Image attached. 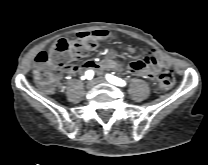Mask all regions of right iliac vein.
<instances>
[{
    "mask_svg": "<svg viewBox=\"0 0 208 165\" xmlns=\"http://www.w3.org/2000/svg\"><path fill=\"white\" fill-rule=\"evenodd\" d=\"M94 85H95V81L94 80H90V81L87 82L86 87L88 89H91L92 87H94Z\"/></svg>",
    "mask_w": 208,
    "mask_h": 165,
    "instance_id": "right-iliac-vein-1",
    "label": "right iliac vein"
}]
</instances>
